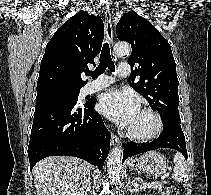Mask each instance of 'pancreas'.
Returning <instances> with one entry per match:
<instances>
[{"label":"pancreas","mask_w":211,"mask_h":195,"mask_svg":"<svg viewBox=\"0 0 211 195\" xmlns=\"http://www.w3.org/2000/svg\"><path fill=\"white\" fill-rule=\"evenodd\" d=\"M163 185H164V182H156V183H153L150 188H156L158 190H162Z\"/></svg>","instance_id":"1"}]
</instances>
